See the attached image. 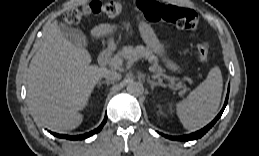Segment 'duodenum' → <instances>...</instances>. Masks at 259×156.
<instances>
[{"label": "duodenum", "mask_w": 259, "mask_h": 156, "mask_svg": "<svg viewBox=\"0 0 259 156\" xmlns=\"http://www.w3.org/2000/svg\"><path fill=\"white\" fill-rule=\"evenodd\" d=\"M113 50H114L113 46L108 45L101 51V53L99 54V57H98V64L100 66L106 65L108 59L110 58L111 54L113 53Z\"/></svg>", "instance_id": "1"}]
</instances>
